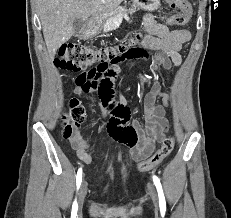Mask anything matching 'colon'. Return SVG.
<instances>
[{
    "mask_svg": "<svg viewBox=\"0 0 231 218\" xmlns=\"http://www.w3.org/2000/svg\"><path fill=\"white\" fill-rule=\"evenodd\" d=\"M173 9L179 11L172 16L171 22L175 25H186L191 17L192 8L187 0H165ZM141 38V32H136L133 37L124 43L108 47H88L81 44L68 43L60 47L58 56L55 59L56 66L70 71H81V69H92L99 66L106 60H116V56L121 58H147L148 54L144 49L135 47L136 42ZM86 118L84 106L77 98L69 101L68 107L61 116L62 134L66 139H72ZM174 147L173 138H167L162 146L151 156L142 160L138 164L140 171H148L156 167L172 151Z\"/></svg>",
    "mask_w": 231,
    "mask_h": 218,
    "instance_id": "5ec220e1",
    "label": "colon"
}]
</instances>
